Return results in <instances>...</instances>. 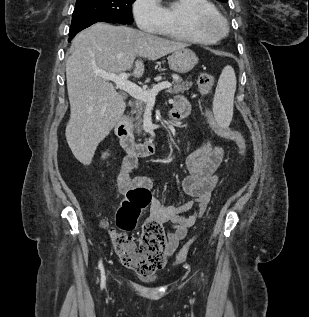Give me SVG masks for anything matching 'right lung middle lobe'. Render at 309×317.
Returning a JSON list of instances; mask_svg holds the SVG:
<instances>
[{
    "label": "right lung middle lobe",
    "instance_id": "obj_1",
    "mask_svg": "<svg viewBox=\"0 0 309 317\" xmlns=\"http://www.w3.org/2000/svg\"><path fill=\"white\" fill-rule=\"evenodd\" d=\"M135 0H77L72 23L85 19L108 20L132 24V3Z\"/></svg>",
    "mask_w": 309,
    "mask_h": 317
}]
</instances>
